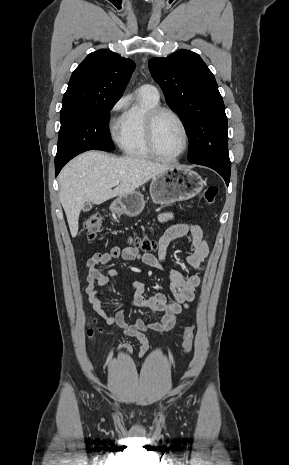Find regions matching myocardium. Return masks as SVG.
<instances>
[{"instance_id":"myocardium-1","label":"myocardium","mask_w":289,"mask_h":465,"mask_svg":"<svg viewBox=\"0 0 289 465\" xmlns=\"http://www.w3.org/2000/svg\"><path fill=\"white\" fill-rule=\"evenodd\" d=\"M163 114H168V115H171L172 117H174L178 123L180 124L182 130H183V133H184V146H183V149L177 153L176 155H173V156H165L163 155L158 147H157V143H156V126H157V122L159 120V118L163 115ZM145 136H146V142H147V146L150 150V152L157 158L161 159V160H164V161H173V160H177L179 159L180 157H182L186 152L187 150L189 149V146H190V133H189V130H188V127L185 123V121L183 120V118L176 112L174 111L173 109L169 108V107H162V106H157V107H154L152 108L147 116H146V121H145Z\"/></svg>"}]
</instances>
